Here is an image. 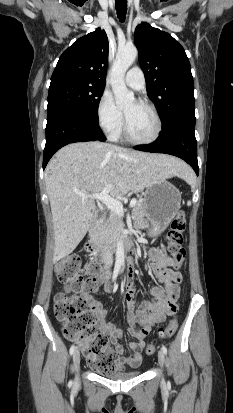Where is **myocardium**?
I'll return each instance as SVG.
<instances>
[{
    "instance_id": "1",
    "label": "myocardium",
    "mask_w": 233,
    "mask_h": 413,
    "mask_svg": "<svg viewBox=\"0 0 233 413\" xmlns=\"http://www.w3.org/2000/svg\"><path fill=\"white\" fill-rule=\"evenodd\" d=\"M138 104L147 107L153 113V115L155 117V120H156L155 133L150 139H147V140H139V139L134 138L130 134L129 127H128V121H127V118L124 114V128H123L124 137L128 142H130L134 145H149V144H152V143L156 142L162 134V130H163L162 118H161L160 113H159V111L157 110V108L155 107L154 104H152L148 101H145V100L139 101Z\"/></svg>"
}]
</instances>
